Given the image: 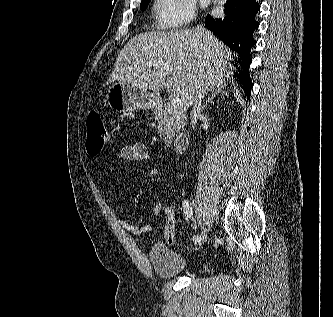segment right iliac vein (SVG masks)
<instances>
[{"instance_id": "obj_1", "label": "right iliac vein", "mask_w": 333, "mask_h": 317, "mask_svg": "<svg viewBox=\"0 0 333 317\" xmlns=\"http://www.w3.org/2000/svg\"><path fill=\"white\" fill-rule=\"evenodd\" d=\"M207 238V234L205 231H203L200 235H199V239L197 241H195V243L197 245H201L206 241Z\"/></svg>"}]
</instances>
